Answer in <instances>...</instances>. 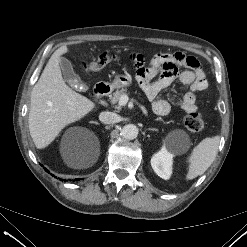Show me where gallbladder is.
Listing matches in <instances>:
<instances>
[{"label":"gallbladder","mask_w":247,"mask_h":247,"mask_svg":"<svg viewBox=\"0 0 247 247\" xmlns=\"http://www.w3.org/2000/svg\"><path fill=\"white\" fill-rule=\"evenodd\" d=\"M59 66L65 81L69 82L72 87L79 89L82 85V81L80 77L74 72L72 63L68 59L61 57L59 60Z\"/></svg>","instance_id":"gallbladder-1"}]
</instances>
